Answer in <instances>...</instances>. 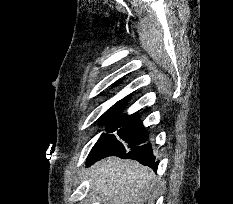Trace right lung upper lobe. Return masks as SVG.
Instances as JSON below:
<instances>
[{"label":"right lung upper lobe","mask_w":233,"mask_h":204,"mask_svg":"<svg viewBox=\"0 0 233 204\" xmlns=\"http://www.w3.org/2000/svg\"><path fill=\"white\" fill-rule=\"evenodd\" d=\"M125 103H126V99L121 100V101H118L114 106L123 105V104H125ZM114 106H113V107H114Z\"/></svg>","instance_id":"1"}]
</instances>
